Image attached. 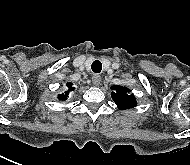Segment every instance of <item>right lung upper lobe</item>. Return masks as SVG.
Listing matches in <instances>:
<instances>
[{
	"instance_id": "obj_1",
	"label": "right lung upper lobe",
	"mask_w": 190,
	"mask_h": 165,
	"mask_svg": "<svg viewBox=\"0 0 190 165\" xmlns=\"http://www.w3.org/2000/svg\"><path fill=\"white\" fill-rule=\"evenodd\" d=\"M73 84L72 83H67L66 86L69 88V91H72L74 90V87L72 86ZM69 91H66L65 93L63 94H60L58 97L60 100H66L68 95H69Z\"/></svg>"
}]
</instances>
